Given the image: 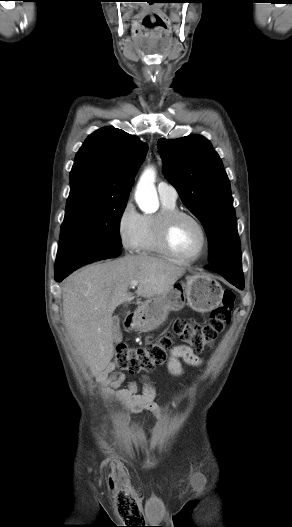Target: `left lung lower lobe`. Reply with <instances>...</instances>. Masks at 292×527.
<instances>
[{"instance_id": "0a47b994", "label": "left lung lower lobe", "mask_w": 292, "mask_h": 527, "mask_svg": "<svg viewBox=\"0 0 292 527\" xmlns=\"http://www.w3.org/2000/svg\"><path fill=\"white\" fill-rule=\"evenodd\" d=\"M206 269L212 270L222 275L226 280H228L240 290L244 289V278L241 261H221L207 266Z\"/></svg>"}]
</instances>
